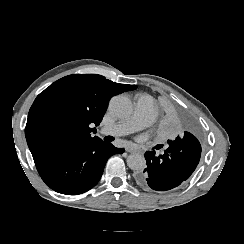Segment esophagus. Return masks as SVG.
<instances>
[{"label": "esophagus", "instance_id": "obj_1", "mask_svg": "<svg viewBox=\"0 0 244 244\" xmlns=\"http://www.w3.org/2000/svg\"><path fill=\"white\" fill-rule=\"evenodd\" d=\"M125 150H126V152H128V153H133V152H135V150H134L132 147H130V146H126V147H125Z\"/></svg>", "mask_w": 244, "mask_h": 244}]
</instances>
